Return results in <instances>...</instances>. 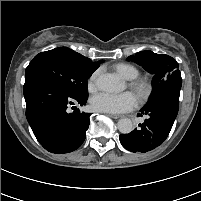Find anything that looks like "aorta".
Masks as SVG:
<instances>
[{
    "mask_svg": "<svg viewBox=\"0 0 201 201\" xmlns=\"http://www.w3.org/2000/svg\"><path fill=\"white\" fill-rule=\"evenodd\" d=\"M97 87L105 92H120L124 89L123 82L114 74L105 73L98 77ZM118 130L123 134H128L133 130V123L129 118H122L117 123Z\"/></svg>",
    "mask_w": 201,
    "mask_h": 201,
    "instance_id": "aorta-1",
    "label": "aorta"
}]
</instances>
